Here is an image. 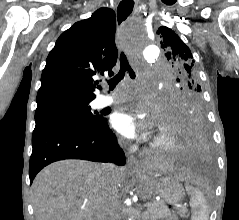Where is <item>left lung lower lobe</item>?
<instances>
[{
	"label": "left lung lower lobe",
	"instance_id": "1",
	"mask_svg": "<svg viewBox=\"0 0 239 220\" xmlns=\"http://www.w3.org/2000/svg\"><path fill=\"white\" fill-rule=\"evenodd\" d=\"M173 120L181 139L178 161L188 166L205 164L209 160L210 146L203 107L185 108Z\"/></svg>",
	"mask_w": 239,
	"mask_h": 220
}]
</instances>
